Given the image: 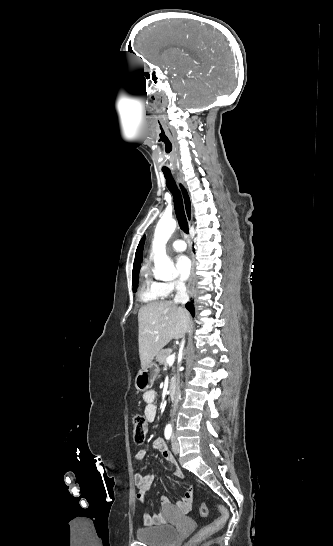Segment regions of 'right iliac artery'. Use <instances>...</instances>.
Instances as JSON below:
<instances>
[{"mask_svg": "<svg viewBox=\"0 0 333 546\" xmlns=\"http://www.w3.org/2000/svg\"><path fill=\"white\" fill-rule=\"evenodd\" d=\"M164 435H165V438L167 440H169L171 435H172V430L171 429H166L165 432H164Z\"/></svg>", "mask_w": 333, "mask_h": 546, "instance_id": "obj_1", "label": "right iliac artery"}]
</instances>
